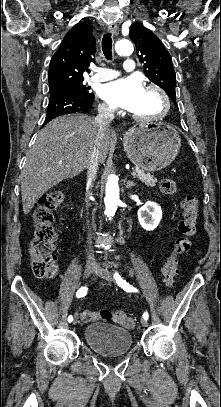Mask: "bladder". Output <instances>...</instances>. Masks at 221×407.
I'll list each match as a JSON object with an SVG mask.
<instances>
[{
  "mask_svg": "<svg viewBox=\"0 0 221 407\" xmlns=\"http://www.w3.org/2000/svg\"><path fill=\"white\" fill-rule=\"evenodd\" d=\"M86 344L104 357H114L128 352L132 345V333L108 323H92L84 329Z\"/></svg>",
  "mask_w": 221,
  "mask_h": 407,
  "instance_id": "31cf9c89",
  "label": "bladder"
}]
</instances>
